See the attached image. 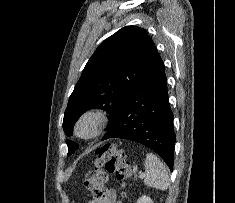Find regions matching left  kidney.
I'll list each match as a JSON object with an SVG mask.
<instances>
[{"label": "left kidney", "instance_id": "5707ae66", "mask_svg": "<svg viewBox=\"0 0 235 203\" xmlns=\"http://www.w3.org/2000/svg\"><path fill=\"white\" fill-rule=\"evenodd\" d=\"M136 203H154L148 196H142Z\"/></svg>", "mask_w": 235, "mask_h": 203}]
</instances>
